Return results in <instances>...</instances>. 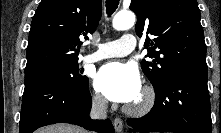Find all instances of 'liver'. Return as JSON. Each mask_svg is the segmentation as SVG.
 Masks as SVG:
<instances>
[{"label":"liver","instance_id":"1","mask_svg":"<svg viewBox=\"0 0 221 133\" xmlns=\"http://www.w3.org/2000/svg\"><path fill=\"white\" fill-rule=\"evenodd\" d=\"M37 133H86V131L73 125L59 123L42 128Z\"/></svg>","mask_w":221,"mask_h":133}]
</instances>
